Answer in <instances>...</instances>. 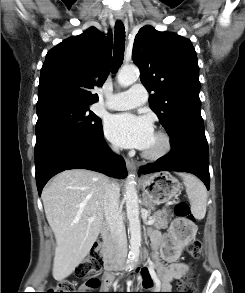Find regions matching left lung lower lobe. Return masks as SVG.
<instances>
[{"label": "left lung lower lobe", "mask_w": 245, "mask_h": 293, "mask_svg": "<svg viewBox=\"0 0 245 293\" xmlns=\"http://www.w3.org/2000/svg\"><path fill=\"white\" fill-rule=\"evenodd\" d=\"M170 135L171 152L156 162L141 166L139 173L159 171L189 172L210 186L208 143L204 130L180 128Z\"/></svg>", "instance_id": "0a47b994"}]
</instances>
